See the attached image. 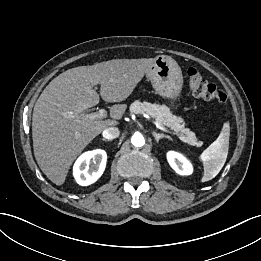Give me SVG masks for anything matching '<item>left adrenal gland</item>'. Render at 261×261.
Segmentation results:
<instances>
[{"mask_svg": "<svg viewBox=\"0 0 261 261\" xmlns=\"http://www.w3.org/2000/svg\"><path fill=\"white\" fill-rule=\"evenodd\" d=\"M152 134L155 137L157 143L159 142L160 139H163V138H167V139L171 140L170 136H168V135L159 134V133H156V132H153Z\"/></svg>", "mask_w": 261, "mask_h": 261, "instance_id": "a2214340", "label": "left adrenal gland"}]
</instances>
